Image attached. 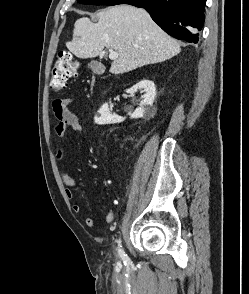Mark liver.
<instances>
[{
	"instance_id": "6515ba94",
	"label": "liver",
	"mask_w": 249,
	"mask_h": 294,
	"mask_svg": "<svg viewBox=\"0 0 249 294\" xmlns=\"http://www.w3.org/2000/svg\"><path fill=\"white\" fill-rule=\"evenodd\" d=\"M96 16L97 23L87 17L78 19L72 41L66 46L81 59L98 56L104 47L116 50L119 56L110 67L113 74L163 62L181 51L177 41L165 33L144 9L116 5Z\"/></svg>"
}]
</instances>
